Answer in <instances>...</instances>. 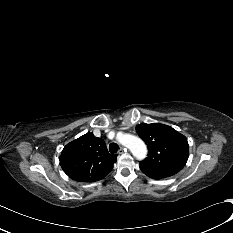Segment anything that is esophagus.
<instances>
[{"label": "esophagus", "mask_w": 233, "mask_h": 233, "mask_svg": "<svg viewBox=\"0 0 233 233\" xmlns=\"http://www.w3.org/2000/svg\"><path fill=\"white\" fill-rule=\"evenodd\" d=\"M127 151V149L126 148H124V147H121L120 149H119V151H118V154H123V153H125Z\"/></svg>", "instance_id": "34e87169"}]
</instances>
